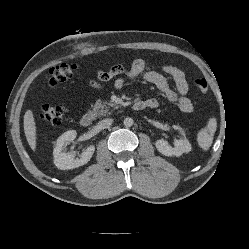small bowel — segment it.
I'll return each instance as SVG.
<instances>
[{"label": "small bowel", "instance_id": "c3829d8e", "mask_svg": "<svg viewBox=\"0 0 249 249\" xmlns=\"http://www.w3.org/2000/svg\"><path fill=\"white\" fill-rule=\"evenodd\" d=\"M162 71L173 79L176 86L175 90L170 88L163 74L146 70V61L141 58L135 59L128 69L122 65H114L108 70L99 69L97 71L98 80L91 79L88 83L92 88L100 89V82L113 80L114 87L121 89L127 81L142 77L159 89L166 99L174 103L182 112H192L193 104L187 97L188 83L183 71L173 65H163ZM143 101L146 103V108H156L159 105L156 98H147Z\"/></svg>", "mask_w": 249, "mask_h": 249}]
</instances>
